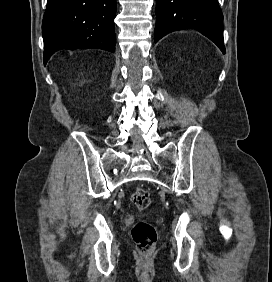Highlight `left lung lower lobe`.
<instances>
[{
	"instance_id": "obj_1",
	"label": "left lung lower lobe",
	"mask_w": 272,
	"mask_h": 282,
	"mask_svg": "<svg viewBox=\"0 0 272 282\" xmlns=\"http://www.w3.org/2000/svg\"><path fill=\"white\" fill-rule=\"evenodd\" d=\"M223 15L218 0H156L154 41L183 29H196L225 54Z\"/></svg>"
}]
</instances>
